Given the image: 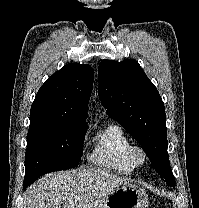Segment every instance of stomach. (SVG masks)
Masks as SVG:
<instances>
[{"instance_id": "stomach-1", "label": "stomach", "mask_w": 199, "mask_h": 208, "mask_svg": "<svg viewBox=\"0 0 199 208\" xmlns=\"http://www.w3.org/2000/svg\"><path fill=\"white\" fill-rule=\"evenodd\" d=\"M147 200L148 196L142 188L123 185L94 208H144Z\"/></svg>"}]
</instances>
